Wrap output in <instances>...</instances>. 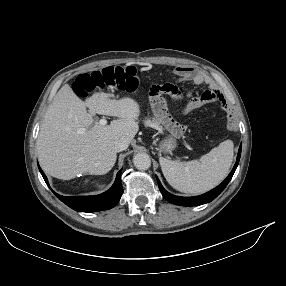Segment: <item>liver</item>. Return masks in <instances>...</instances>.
<instances>
[{"label": "liver", "instance_id": "obj_1", "mask_svg": "<svg viewBox=\"0 0 286 286\" xmlns=\"http://www.w3.org/2000/svg\"><path fill=\"white\" fill-rule=\"evenodd\" d=\"M95 114L118 119L102 126L94 123ZM139 115V104L132 98L116 100L106 93H95L84 102L65 84L49 106L38 135L42 169L64 180L80 173L106 174L116 162V141L130 143L138 132Z\"/></svg>", "mask_w": 286, "mask_h": 286}]
</instances>
